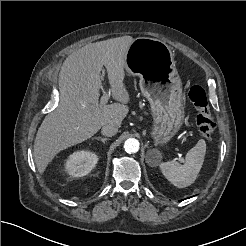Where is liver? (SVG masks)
Returning <instances> with one entry per match:
<instances>
[{
    "label": "liver",
    "mask_w": 246,
    "mask_h": 246,
    "mask_svg": "<svg viewBox=\"0 0 246 246\" xmlns=\"http://www.w3.org/2000/svg\"><path fill=\"white\" fill-rule=\"evenodd\" d=\"M133 41L131 36H122L90 43L66 58L59 73V105L45 116L34 142V160L40 174L57 153L91 138L102 126H121L129 112L124 69ZM103 66L117 102L101 106Z\"/></svg>",
    "instance_id": "6515ba94"
}]
</instances>
